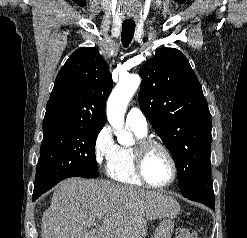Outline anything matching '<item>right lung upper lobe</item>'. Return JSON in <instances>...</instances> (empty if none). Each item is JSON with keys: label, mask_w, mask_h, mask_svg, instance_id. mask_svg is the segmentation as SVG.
<instances>
[{"label": "right lung upper lobe", "mask_w": 247, "mask_h": 238, "mask_svg": "<svg viewBox=\"0 0 247 238\" xmlns=\"http://www.w3.org/2000/svg\"><path fill=\"white\" fill-rule=\"evenodd\" d=\"M113 82L95 48L77 49L60 69L46 105L43 132L106 123L105 104Z\"/></svg>", "instance_id": "right-lung-upper-lobe-1"}]
</instances>
